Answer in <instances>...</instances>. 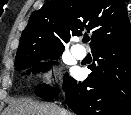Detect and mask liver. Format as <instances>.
<instances>
[{
	"label": "liver",
	"mask_w": 131,
	"mask_h": 115,
	"mask_svg": "<svg viewBox=\"0 0 131 115\" xmlns=\"http://www.w3.org/2000/svg\"><path fill=\"white\" fill-rule=\"evenodd\" d=\"M4 115H62V110L55 104H40L31 99H21L12 101Z\"/></svg>",
	"instance_id": "obj_1"
}]
</instances>
